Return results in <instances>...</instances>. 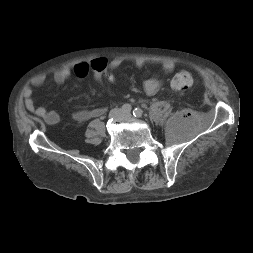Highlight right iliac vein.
Instances as JSON below:
<instances>
[{"mask_svg":"<svg viewBox=\"0 0 253 253\" xmlns=\"http://www.w3.org/2000/svg\"><path fill=\"white\" fill-rule=\"evenodd\" d=\"M123 116V112L121 109H116L111 112V117L117 118Z\"/></svg>","mask_w":253,"mask_h":253,"instance_id":"obj_1","label":"right iliac vein"}]
</instances>
